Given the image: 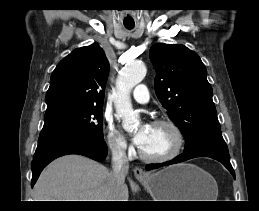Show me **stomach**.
I'll return each instance as SVG.
<instances>
[{
	"mask_svg": "<svg viewBox=\"0 0 259 211\" xmlns=\"http://www.w3.org/2000/svg\"><path fill=\"white\" fill-rule=\"evenodd\" d=\"M154 201H215V179L193 164H177L140 179Z\"/></svg>",
	"mask_w": 259,
	"mask_h": 211,
	"instance_id": "obj_1",
	"label": "stomach"
}]
</instances>
